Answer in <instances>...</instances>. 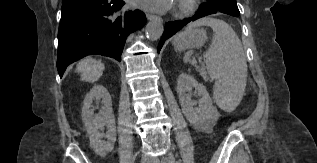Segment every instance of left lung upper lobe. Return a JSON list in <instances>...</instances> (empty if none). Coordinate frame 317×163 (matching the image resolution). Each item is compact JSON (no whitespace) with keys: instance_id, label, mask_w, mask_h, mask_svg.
I'll use <instances>...</instances> for the list:
<instances>
[{"instance_id":"left-lung-upper-lobe-1","label":"left lung upper lobe","mask_w":317,"mask_h":163,"mask_svg":"<svg viewBox=\"0 0 317 163\" xmlns=\"http://www.w3.org/2000/svg\"><path fill=\"white\" fill-rule=\"evenodd\" d=\"M201 6L209 10H219L239 15L236 0H208Z\"/></svg>"}]
</instances>
